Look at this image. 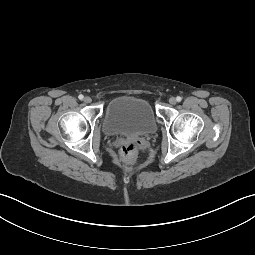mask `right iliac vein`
Masks as SVG:
<instances>
[{"label": "right iliac vein", "instance_id": "1", "mask_svg": "<svg viewBox=\"0 0 255 255\" xmlns=\"http://www.w3.org/2000/svg\"><path fill=\"white\" fill-rule=\"evenodd\" d=\"M91 101H92V99H91L89 96H86V97L84 98V102H85V103H91Z\"/></svg>", "mask_w": 255, "mask_h": 255}]
</instances>
